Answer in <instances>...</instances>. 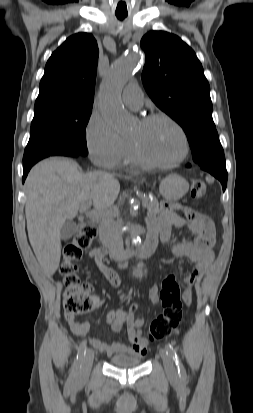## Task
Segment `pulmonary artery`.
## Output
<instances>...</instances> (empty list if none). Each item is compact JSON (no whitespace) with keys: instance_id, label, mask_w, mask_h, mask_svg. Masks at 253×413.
<instances>
[{"instance_id":"1","label":"pulmonary artery","mask_w":253,"mask_h":413,"mask_svg":"<svg viewBox=\"0 0 253 413\" xmlns=\"http://www.w3.org/2000/svg\"><path fill=\"white\" fill-rule=\"evenodd\" d=\"M123 102L133 110H138L143 103V93L137 84H129L123 91Z\"/></svg>"}]
</instances>
